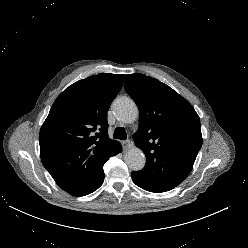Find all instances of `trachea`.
I'll use <instances>...</instances> for the list:
<instances>
[{
	"label": "trachea",
	"instance_id": "obj_1",
	"mask_svg": "<svg viewBox=\"0 0 248 248\" xmlns=\"http://www.w3.org/2000/svg\"><path fill=\"white\" fill-rule=\"evenodd\" d=\"M113 137L115 139L125 140L127 138L125 129L123 127H117L114 131Z\"/></svg>",
	"mask_w": 248,
	"mask_h": 248
}]
</instances>
